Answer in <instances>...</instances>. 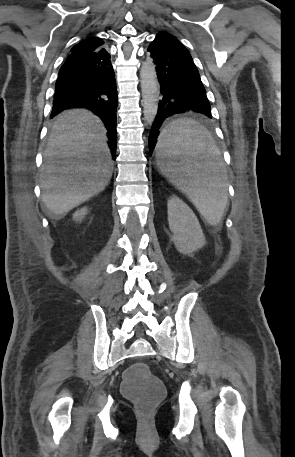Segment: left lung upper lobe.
I'll return each instance as SVG.
<instances>
[{
    "label": "left lung upper lobe",
    "instance_id": "obj_1",
    "mask_svg": "<svg viewBox=\"0 0 295 457\" xmlns=\"http://www.w3.org/2000/svg\"><path fill=\"white\" fill-rule=\"evenodd\" d=\"M156 38L161 39L165 42L171 43L189 53V51L186 49V47L175 36H173L172 34H170L168 32L161 31V32L157 33Z\"/></svg>",
    "mask_w": 295,
    "mask_h": 457
}]
</instances>
